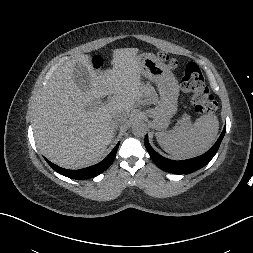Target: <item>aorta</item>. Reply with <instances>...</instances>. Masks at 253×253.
Segmentation results:
<instances>
[{"mask_svg": "<svg viewBox=\"0 0 253 253\" xmlns=\"http://www.w3.org/2000/svg\"><path fill=\"white\" fill-rule=\"evenodd\" d=\"M147 130H148V127H147L146 123H144L141 120L135 121L132 125V133L135 136L143 137L144 135H146Z\"/></svg>", "mask_w": 253, "mask_h": 253, "instance_id": "762f6f07", "label": "aorta"}]
</instances>
